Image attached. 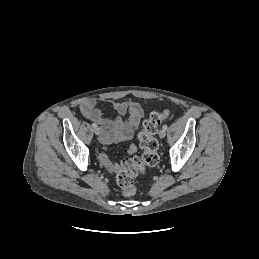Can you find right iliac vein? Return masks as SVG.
Wrapping results in <instances>:
<instances>
[{"instance_id": "obj_1", "label": "right iliac vein", "mask_w": 259, "mask_h": 259, "mask_svg": "<svg viewBox=\"0 0 259 259\" xmlns=\"http://www.w3.org/2000/svg\"><path fill=\"white\" fill-rule=\"evenodd\" d=\"M94 133H95L96 135H99V134H100V128L95 127V128H94Z\"/></svg>"}]
</instances>
